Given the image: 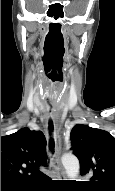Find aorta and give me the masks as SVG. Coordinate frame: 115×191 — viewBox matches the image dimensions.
<instances>
[{
  "label": "aorta",
  "mask_w": 115,
  "mask_h": 191,
  "mask_svg": "<svg viewBox=\"0 0 115 191\" xmlns=\"http://www.w3.org/2000/svg\"><path fill=\"white\" fill-rule=\"evenodd\" d=\"M62 164L66 170V174L70 180H76L79 174V160L72 154L62 156Z\"/></svg>",
  "instance_id": "aorta-1"
}]
</instances>
